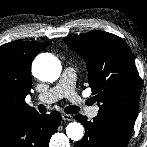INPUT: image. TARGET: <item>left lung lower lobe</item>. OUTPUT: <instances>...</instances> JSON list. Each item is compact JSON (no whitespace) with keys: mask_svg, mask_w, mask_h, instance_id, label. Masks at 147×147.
Instances as JSON below:
<instances>
[{"mask_svg":"<svg viewBox=\"0 0 147 147\" xmlns=\"http://www.w3.org/2000/svg\"><path fill=\"white\" fill-rule=\"evenodd\" d=\"M75 119L84 125L85 135L74 147H127L130 136L110 122L98 117L88 121L80 114Z\"/></svg>","mask_w":147,"mask_h":147,"instance_id":"0a47b994","label":"left lung lower lobe"}]
</instances>
